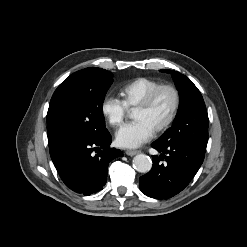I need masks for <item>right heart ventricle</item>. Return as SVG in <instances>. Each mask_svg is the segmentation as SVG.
<instances>
[{
    "label": "right heart ventricle",
    "mask_w": 247,
    "mask_h": 247,
    "mask_svg": "<svg viewBox=\"0 0 247 247\" xmlns=\"http://www.w3.org/2000/svg\"><path fill=\"white\" fill-rule=\"evenodd\" d=\"M158 85H160V82L155 79L147 77L135 78L120 89L122 102L127 109L134 108Z\"/></svg>",
    "instance_id": "obj_1"
}]
</instances>
